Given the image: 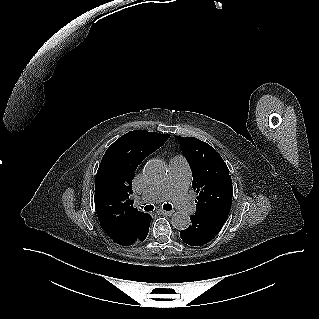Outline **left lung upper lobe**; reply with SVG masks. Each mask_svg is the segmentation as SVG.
I'll use <instances>...</instances> for the list:
<instances>
[{
    "label": "left lung upper lobe",
    "mask_w": 319,
    "mask_h": 319,
    "mask_svg": "<svg viewBox=\"0 0 319 319\" xmlns=\"http://www.w3.org/2000/svg\"><path fill=\"white\" fill-rule=\"evenodd\" d=\"M177 140L192 170V187L199 193L196 213L228 215L233 189L226 163L212 146L197 138L177 136Z\"/></svg>",
    "instance_id": "left-lung-upper-lobe-1"
}]
</instances>
